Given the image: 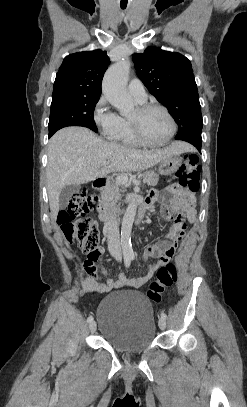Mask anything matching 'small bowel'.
Instances as JSON below:
<instances>
[{
  "mask_svg": "<svg viewBox=\"0 0 247 407\" xmlns=\"http://www.w3.org/2000/svg\"><path fill=\"white\" fill-rule=\"evenodd\" d=\"M168 199L170 204L161 209V214L164 218L174 220L172 232L162 241L149 245L144 250V258H153L154 260L147 265V271L142 277H128L125 274H120L118 280H113L108 277L107 269L102 266L101 272L106 276V283L99 280L96 263L103 261L105 249L100 247L94 256H89L84 261L83 269L91 275V279L87 282L82 281V292H108L112 289L123 286L142 287L154 272L161 266H165L180 249L189 224L195 219V210L193 202L189 194H182L176 186H171L166 189V192L152 191L148 202ZM181 211L184 213L182 214Z\"/></svg>",
  "mask_w": 247,
  "mask_h": 407,
  "instance_id": "1",
  "label": "small bowel"
}]
</instances>
